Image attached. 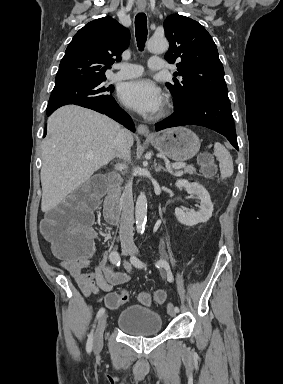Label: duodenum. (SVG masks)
<instances>
[{
    "label": "duodenum",
    "instance_id": "410a0bca",
    "mask_svg": "<svg viewBox=\"0 0 283 384\" xmlns=\"http://www.w3.org/2000/svg\"><path fill=\"white\" fill-rule=\"evenodd\" d=\"M121 176L118 172H111L108 175V192L104 202V219L112 224L117 225L120 222V206L119 187L121 184Z\"/></svg>",
    "mask_w": 283,
    "mask_h": 384
}]
</instances>
